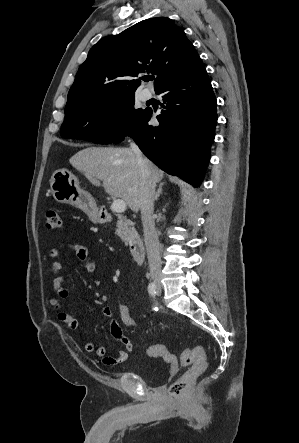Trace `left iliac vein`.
<instances>
[{
  "instance_id": "4c4485c4",
  "label": "left iliac vein",
  "mask_w": 299,
  "mask_h": 443,
  "mask_svg": "<svg viewBox=\"0 0 299 443\" xmlns=\"http://www.w3.org/2000/svg\"><path fill=\"white\" fill-rule=\"evenodd\" d=\"M160 293H161V289L159 288V289H158V294H160Z\"/></svg>"
}]
</instances>
